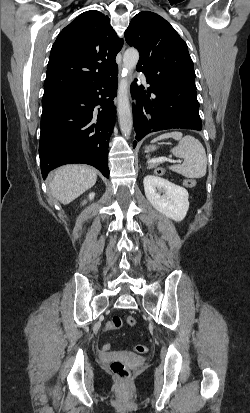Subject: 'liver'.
Here are the masks:
<instances>
[{
	"label": "liver",
	"mask_w": 250,
	"mask_h": 413,
	"mask_svg": "<svg viewBox=\"0 0 250 413\" xmlns=\"http://www.w3.org/2000/svg\"><path fill=\"white\" fill-rule=\"evenodd\" d=\"M97 180V172L85 165L70 164L54 171L49 186L53 197L66 205L90 189Z\"/></svg>",
	"instance_id": "liver-1"
}]
</instances>
